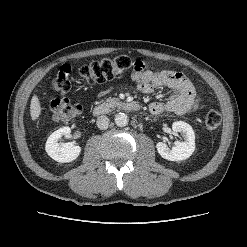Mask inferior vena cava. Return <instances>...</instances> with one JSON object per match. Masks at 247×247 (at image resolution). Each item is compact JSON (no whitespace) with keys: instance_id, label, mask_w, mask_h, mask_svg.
I'll list each match as a JSON object with an SVG mask.
<instances>
[{"instance_id":"1","label":"inferior vena cava","mask_w":247,"mask_h":247,"mask_svg":"<svg viewBox=\"0 0 247 247\" xmlns=\"http://www.w3.org/2000/svg\"><path fill=\"white\" fill-rule=\"evenodd\" d=\"M96 124H97V127L99 129H106L109 126V118L107 116H104V115L99 116L97 118Z\"/></svg>"}]
</instances>
